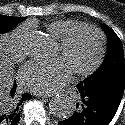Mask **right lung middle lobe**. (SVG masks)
Masks as SVG:
<instances>
[{
    "instance_id": "dd1d6c3e",
    "label": "right lung middle lobe",
    "mask_w": 125,
    "mask_h": 125,
    "mask_svg": "<svg viewBox=\"0 0 125 125\" xmlns=\"http://www.w3.org/2000/svg\"><path fill=\"white\" fill-rule=\"evenodd\" d=\"M26 17H11V16H5L0 15V32H8L11 30L14 26L24 21ZM4 102L1 105V107L5 106H11L14 101L10 96H7L5 99H3Z\"/></svg>"
}]
</instances>
